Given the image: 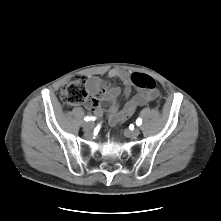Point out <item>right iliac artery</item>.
I'll use <instances>...</instances> for the list:
<instances>
[{"instance_id":"82829eb1","label":"right iliac artery","mask_w":221,"mask_h":221,"mask_svg":"<svg viewBox=\"0 0 221 221\" xmlns=\"http://www.w3.org/2000/svg\"><path fill=\"white\" fill-rule=\"evenodd\" d=\"M84 120L85 121H94L95 120V117H92V116H86L85 118H84Z\"/></svg>"}]
</instances>
